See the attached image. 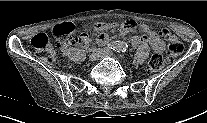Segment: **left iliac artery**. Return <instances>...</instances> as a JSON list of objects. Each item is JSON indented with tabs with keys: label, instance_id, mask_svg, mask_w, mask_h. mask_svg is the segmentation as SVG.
I'll return each mask as SVG.
<instances>
[{
	"label": "left iliac artery",
	"instance_id": "obj_1",
	"mask_svg": "<svg viewBox=\"0 0 207 123\" xmlns=\"http://www.w3.org/2000/svg\"><path fill=\"white\" fill-rule=\"evenodd\" d=\"M114 51L118 52V53H123L126 51V47H117L116 49H114Z\"/></svg>",
	"mask_w": 207,
	"mask_h": 123
}]
</instances>
